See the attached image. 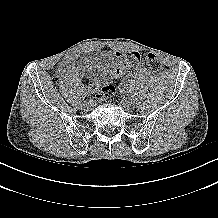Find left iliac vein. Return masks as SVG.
<instances>
[{
  "label": "left iliac vein",
  "mask_w": 218,
  "mask_h": 218,
  "mask_svg": "<svg viewBox=\"0 0 218 218\" xmlns=\"http://www.w3.org/2000/svg\"><path fill=\"white\" fill-rule=\"evenodd\" d=\"M121 104L124 108H129L131 106V101L127 100V98H123Z\"/></svg>",
  "instance_id": "4c4485c4"
}]
</instances>
